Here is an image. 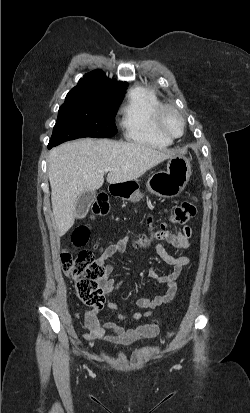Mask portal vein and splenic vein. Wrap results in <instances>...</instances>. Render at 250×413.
<instances>
[{"label":"portal vein and splenic vein","instance_id":"18ae733b","mask_svg":"<svg viewBox=\"0 0 250 413\" xmlns=\"http://www.w3.org/2000/svg\"><path fill=\"white\" fill-rule=\"evenodd\" d=\"M111 170H112L111 167H106V168L104 169V172H108V171H111Z\"/></svg>","mask_w":250,"mask_h":413}]
</instances>
